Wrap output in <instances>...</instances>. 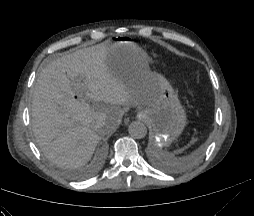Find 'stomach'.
Segmentation results:
<instances>
[{
	"mask_svg": "<svg viewBox=\"0 0 254 216\" xmlns=\"http://www.w3.org/2000/svg\"><path fill=\"white\" fill-rule=\"evenodd\" d=\"M111 50L114 67L126 77H151L152 103L140 109L137 116L152 128V140L158 147L170 146L186 125V114L176 91L163 76L150 71L149 57L136 43L121 37L112 44Z\"/></svg>",
	"mask_w": 254,
	"mask_h": 216,
	"instance_id": "stomach-1",
	"label": "stomach"
}]
</instances>
